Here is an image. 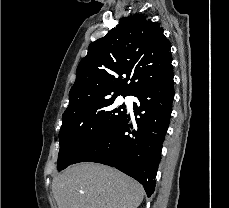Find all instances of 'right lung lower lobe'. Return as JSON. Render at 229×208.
Here are the masks:
<instances>
[{"label":"right lung lower lobe","instance_id":"98d812e1","mask_svg":"<svg viewBox=\"0 0 229 208\" xmlns=\"http://www.w3.org/2000/svg\"><path fill=\"white\" fill-rule=\"evenodd\" d=\"M173 69L163 78L142 87L133 96L134 114H125L98 140L82 151L72 164L97 162L115 167L139 181L148 197L155 189V176L162 144L169 126L174 98Z\"/></svg>","mask_w":229,"mask_h":208}]
</instances>
